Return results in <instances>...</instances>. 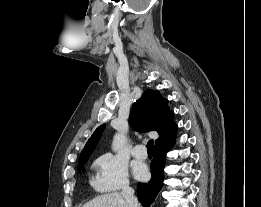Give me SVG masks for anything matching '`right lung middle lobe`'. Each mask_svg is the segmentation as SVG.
Here are the masks:
<instances>
[{"label": "right lung middle lobe", "instance_id": "1", "mask_svg": "<svg viewBox=\"0 0 261 207\" xmlns=\"http://www.w3.org/2000/svg\"><path fill=\"white\" fill-rule=\"evenodd\" d=\"M88 158L89 157L79 160L78 164L84 165L87 162ZM80 169H82V171H84V167L78 166V170H80Z\"/></svg>", "mask_w": 261, "mask_h": 207}]
</instances>
